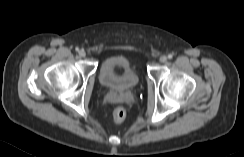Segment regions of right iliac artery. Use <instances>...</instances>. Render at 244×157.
Returning a JSON list of instances; mask_svg holds the SVG:
<instances>
[{
  "label": "right iliac artery",
  "mask_w": 244,
  "mask_h": 157,
  "mask_svg": "<svg viewBox=\"0 0 244 157\" xmlns=\"http://www.w3.org/2000/svg\"><path fill=\"white\" fill-rule=\"evenodd\" d=\"M76 51H79V48H76Z\"/></svg>",
  "instance_id": "obj_1"
}]
</instances>
